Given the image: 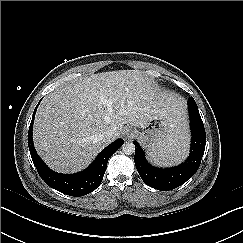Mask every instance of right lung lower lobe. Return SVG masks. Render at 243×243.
<instances>
[{
  "instance_id": "obj_1",
  "label": "right lung lower lobe",
  "mask_w": 243,
  "mask_h": 243,
  "mask_svg": "<svg viewBox=\"0 0 243 243\" xmlns=\"http://www.w3.org/2000/svg\"><path fill=\"white\" fill-rule=\"evenodd\" d=\"M40 103V102H39ZM38 103V105H39ZM36 106L32 121L30 123L28 132V146L33 163L40 175V177L49 185L51 188L64 193L66 195L80 197L94 191L102 182L104 173L107 168V162L110 156L117 151V149L123 144L122 139H118L107 146L101 153L96 157L93 163L85 170L75 174H61L57 173L50 168L41 160L38 156L32 139L33 122L35 113L37 110Z\"/></svg>"
}]
</instances>
